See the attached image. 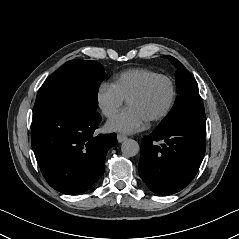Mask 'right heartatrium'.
Listing matches in <instances>:
<instances>
[{"label":"right heart atrium","instance_id":"1","mask_svg":"<svg viewBox=\"0 0 239 239\" xmlns=\"http://www.w3.org/2000/svg\"><path fill=\"white\" fill-rule=\"evenodd\" d=\"M97 104L106 117H112L124 103V99L113 84L102 83L97 91Z\"/></svg>","mask_w":239,"mask_h":239}]
</instances>
